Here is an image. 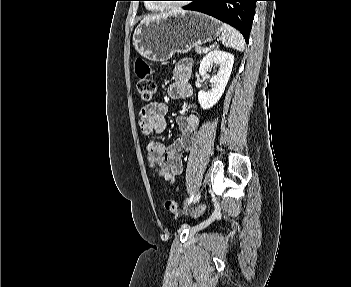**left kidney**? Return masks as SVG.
I'll list each match as a JSON object with an SVG mask.
<instances>
[{
    "instance_id": "obj_1",
    "label": "left kidney",
    "mask_w": 351,
    "mask_h": 287,
    "mask_svg": "<svg viewBox=\"0 0 351 287\" xmlns=\"http://www.w3.org/2000/svg\"><path fill=\"white\" fill-rule=\"evenodd\" d=\"M233 63L234 56L225 51L214 50L203 57L199 67L201 76L207 75L213 65L219 66L217 74L210 79L211 90L198 93L199 104L204 110L213 107L221 98L231 75Z\"/></svg>"
}]
</instances>
